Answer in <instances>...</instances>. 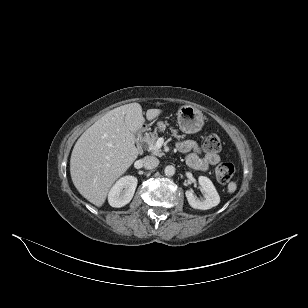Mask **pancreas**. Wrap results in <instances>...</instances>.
I'll return each mask as SVG.
<instances>
[{"label": "pancreas", "instance_id": "pancreas-1", "mask_svg": "<svg viewBox=\"0 0 308 308\" xmlns=\"http://www.w3.org/2000/svg\"><path fill=\"white\" fill-rule=\"evenodd\" d=\"M168 124L165 122H158V126L157 129H159L160 131L164 132L166 129V126ZM157 129H155V131L153 133H149L146 136H144V142L145 144L149 147V149L151 150L152 154L156 155V156H162L163 153L161 152L160 149L157 148H151L155 145L156 141L158 140V133H157ZM170 131L172 132L173 136H175L176 138L180 139L183 136L178 135L177 134V130L173 129L172 127H170Z\"/></svg>", "mask_w": 308, "mask_h": 308}]
</instances>
